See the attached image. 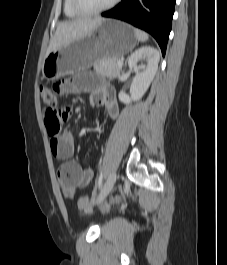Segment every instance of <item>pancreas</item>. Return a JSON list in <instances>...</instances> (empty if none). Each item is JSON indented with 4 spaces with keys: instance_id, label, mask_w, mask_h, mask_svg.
Wrapping results in <instances>:
<instances>
[{
    "instance_id": "cf45deb5",
    "label": "pancreas",
    "mask_w": 227,
    "mask_h": 265,
    "mask_svg": "<svg viewBox=\"0 0 227 265\" xmlns=\"http://www.w3.org/2000/svg\"><path fill=\"white\" fill-rule=\"evenodd\" d=\"M118 61L116 59L102 60L94 64V70L101 75L114 79L119 75L121 70V67L117 65Z\"/></svg>"
}]
</instances>
